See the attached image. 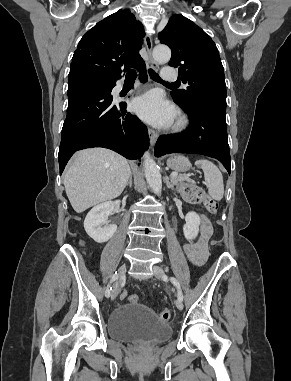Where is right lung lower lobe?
Masks as SVG:
<instances>
[{
    "instance_id": "obj_1",
    "label": "right lung lower lobe",
    "mask_w": 291,
    "mask_h": 381,
    "mask_svg": "<svg viewBox=\"0 0 291 381\" xmlns=\"http://www.w3.org/2000/svg\"><path fill=\"white\" fill-rule=\"evenodd\" d=\"M140 79L147 80L145 64L138 67ZM114 82L82 75L68 76L67 117L61 132L58 160L60 174L77 150L104 147L131 160H138L148 147L145 125L126 111V103L115 104Z\"/></svg>"
}]
</instances>
